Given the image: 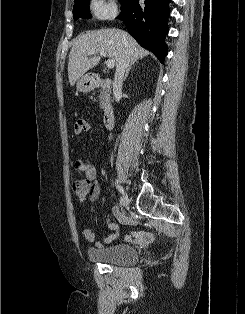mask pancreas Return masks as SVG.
Instances as JSON below:
<instances>
[{
	"label": "pancreas",
	"instance_id": "obj_1",
	"mask_svg": "<svg viewBox=\"0 0 245 314\" xmlns=\"http://www.w3.org/2000/svg\"><path fill=\"white\" fill-rule=\"evenodd\" d=\"M99 99H100L101 108L104 109L110 105V91L107 87L105 86L102 87L100 91Z\"/></svg>",
	"mask_w": 245,
	"mask_h": 314
}]
</instances>
